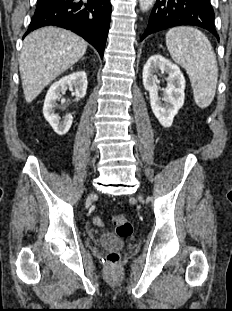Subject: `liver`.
<instances>
[{
  "label": "liver",
  "instance_id": "1",
  "mask_svg": "<svg viewBox=\"0 0 232 311\" xmlns=\"http://www.w3.org/2000/svg\"><path fill=\"white\" fill-rule=\"evenodd\" d=\"M87 42L71 31L44 27L29 34L23 42L19 70L26 102L83 57Z\"/></svg>",
  "mask_w": 232,
  "mask_h": 311
}]
</instances>
